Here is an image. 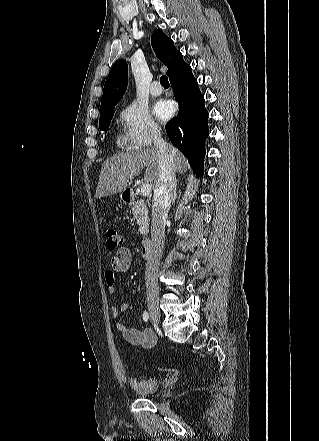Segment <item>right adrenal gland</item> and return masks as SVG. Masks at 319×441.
I'll return each mask as SVG.
<instances>
[{
  "mask_svg": "<svg viewBox=\"0 0 319 441\" xmlns=\"http://www.w3.org/2000/svg\"><path fill=\"white\" fill-rule=\"evenodd\" d=\"M177 199V183L175 184V188H174V193H173V198H172V204L175 203Z\"/></svg>",
  "mask_w": 319,
  "mask_h": 441,
  "instance_id": "1",
  "label": "right adrenal gland"
}]
</instances>
